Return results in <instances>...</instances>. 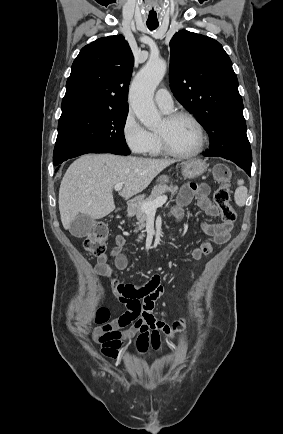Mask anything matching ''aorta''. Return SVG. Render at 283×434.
Here are the masks:
<instances>
[{
    "instance_id": "aorta-1",
    "label": "aorta",
    "mask_w": 283,
    "mask_h": 434,
    "mask_svg": "<svg viewBox=\"0 0 283 434\" xmlns=\"http://www.w3.org/2000/svg\"><path fill=\"white\" fill-rule=\"evenodd\" d=\"M166 62L160 58H150L135 76L129 91L130 105L141 123L148 129L157 128L161 114L157 110L153 96L166 73Z\"/></svg>"
}]
</instances>
